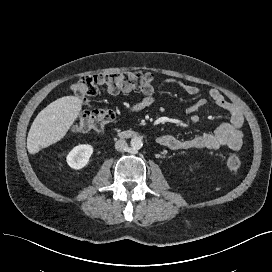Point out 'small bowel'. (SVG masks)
Listing matches in <instances>:
<instances>
[{
    "label": "small bowel",
    "instance_id": "small-bowel-1",
    "mask_svg": "<svg viewBox=\"0 0 272 272\" xmlns=\"http://www.w3.org/2000/svg\"><path fill=\"white\" fill-rule=\"evenodd\" d=\"M165 82L175 85L191 96H197L200 93V89L197 86L185 83L176 78H167ZM208 97L215 105L228 113L229 120L227 122L219 125L212 133L200 134L190 139H180L174 135L165 134L158 138V143L171 150L192 148L215 150L221 147L239 150L243 144L242 127L245 121L242 110L235 103L228 101L217 89H210ZM154 102V95L146 94L142 99L131 103L127 111L131 114L137 113L150 107ZM206 103L207 99H198L186 109V113L190 115L192 119H195L197 112L204 107Z\"/></svg>",
    "mask_w": 272,
    "mask_h": 272
}]
</instances>
